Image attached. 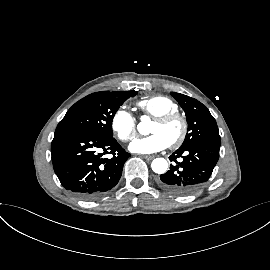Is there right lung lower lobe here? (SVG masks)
<instances>
[{
  "label": "right lung lower lobe",
  "instance_id": "right-lung-lower-lobe-1",
  "mask_svg": "<svg viewBox=\"0 0 270 270\" xmlns=\"http://www.w3.org/2000/svg\"><path fill=\"white\" fill-rule=\"evenodd\" d=\"M113 157L106 158L105 155ZM54 171L62 186L91 200L112 189L131 155L114 139H103L79 130L55 131L51 143Z\"/></svg>",
  "mask_w": 270,
  "mask_h": 270
}]
</instances>
